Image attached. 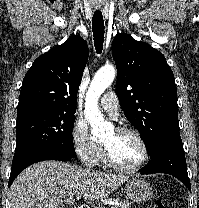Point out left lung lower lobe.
Returning a JSON list of instances; mask_svg holds the SVG:
<instances>
[{
	"label": "left lung lower lobe",
	"mask_w": 199,
	"mask_h": 208,
	"mask_svg": "<svg viewBox=\"0 0 199 208\" xmlns=\"http://www.w3.org/2000/svg\"><path fill=\"white\" fill-rule=\"evenodd\" d=\"M150 158L149 163L140 170L142 174L167 173L173 175L191 191L180 133L163 139L150 154Z\"/></svg>",
	"instance_id": "0a47b994"
}]
</instances>
